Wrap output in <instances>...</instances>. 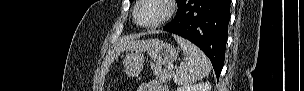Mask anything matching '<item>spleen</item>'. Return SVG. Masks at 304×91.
Segmentation results:
<instances>
[{
  "label": "spleen",
  "mask_w": 304,
  "mask_h": 91,
  "mask_svg": "<svg viewBox=\"0 0 304 91\" xmlns=\"http://www.w3.org/2000/svg\"><path fill=\"white\" fill-rule=\"evenodd\" d=\"M175 39L186 59L176 70L174 82L177 85H189L207 76L211 70V63L207 56L188 40L178 36H175Z\"/></svg>",
  "instance_id": "3e777b00"
}]
</instances>
